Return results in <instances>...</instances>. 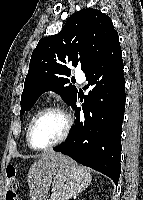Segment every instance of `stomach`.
I'll return each instance as SVG.
<instances>
[{
  "instance_id": "1",
  "label": "stomach",
  "mask_w": 143,
  "mask_h": 200,
  "mask_svg": "<svg viewBox=\"0 0 143 200\" xmlns=\"http://www.w3.org/2000/svg\"><path fill=\"white\" fill-rule=\"evenodd\" d=\"M91 179L88 168L76 163L67 165L54 175L51 196L47 200H69L86 189Z\"/></svg>"
}]
</instances>
